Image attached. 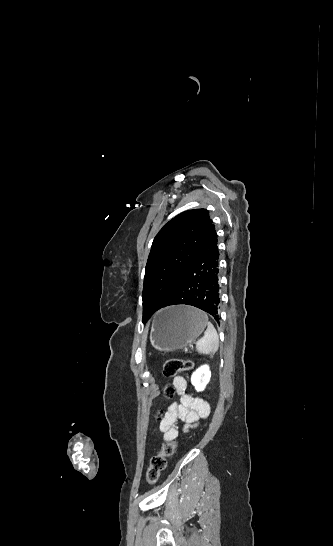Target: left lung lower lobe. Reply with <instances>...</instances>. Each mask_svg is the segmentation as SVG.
<instances>
[{"instance_id": "1", "label": "left lung lower lobe", "mask_w": 333, "mask_h": 546, "mask_svg": "<svg viewBox=\"0 0 333 546\" xmlns=\"http://www.w3.org/2000/svg\"><path fill=\"white\" fill-rule=\"evenodd\" d=\"M204 267L200 273V263ZM219 250L214 225L211 226L195 259L176 281L168 301L163 307L186 304L195 306L209 313L219 322L220 286H219Z\"/></svg>"}]
</instances>
